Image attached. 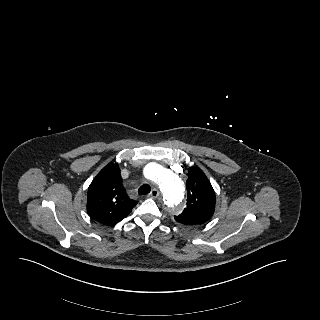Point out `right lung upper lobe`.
I'll list each match as a JSON object with an SVG mask.
<instances>
[{
    "label": "right lung upper lobe",
    "mask_w": 320,
    "mask_h": 320,
    "mask_svg": "<svg viewBox=\"0 0 320 320\" xmlns=\"http://www.w3.org/2000/svg\"><path fill=\"white\" fill-rule=\"evenodd\" d=\"M136 204L137 201L126 195L117 163L107 164L88 188L87 212L103 225L114 226L127 217Z\"/></svg>",
    "instance_id": "cb5924a9"
}]
</instances>
